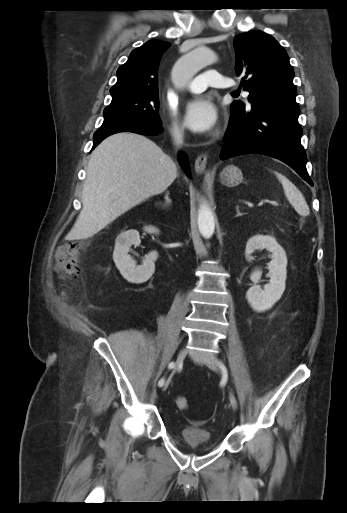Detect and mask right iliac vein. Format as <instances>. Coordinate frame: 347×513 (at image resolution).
Segmentation results:
<instances>
[{
    "mask_svg": "<svg viewBox=\"0 0 347 513\" xmlns=\"http://www.w3.org/2000/svg\"><path fill=\"white\" fill-rule=\"evenodd\" d=\"M185 354H186L185 350H181L179 352L178 357H177V361H176V366H179L182 363V361L185 358ZM167 387H168V382L164 385L163 389L166 390Z\"/></svg>",
    "mask_w": 347,
    "mask_h": 513,
    "instance_id": "1",
    "label": "right iliac vein"
}]
</instances>
